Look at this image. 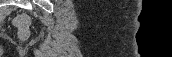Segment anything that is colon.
Segmentation results:
<instances>
[{
    "mask_svg": "<svg viewBox=\"0 0 172 57\" xmlns=\"http://www.w3.org/2000/svg\"><path fill=\"white\" fill-rule=\"evenodd\" d=\"M15 23L21 33V36L23 38L27 37L28 29L30 25L29 17L27 15H20L17 17Z\"/></svg>",
    "mask_w": 172,
    "mask_h": 57,
    "instance_id": "obj_1",
    "label": "colon"
}]
</instances>
